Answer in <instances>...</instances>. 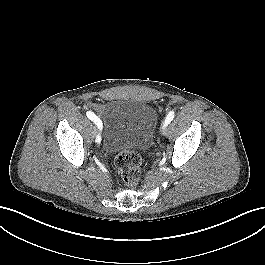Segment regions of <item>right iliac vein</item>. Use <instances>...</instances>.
Returning <instances> with one entry per match:
<instances>
[{
  "label": "right iliac vein",
  "mask_w": 265,
  "mask_h": 265,
  "mask_svg": "<svg viewBox=\"0 0 265 265\" xmlns=\"http://www.w3.org/2000/svg\"><path fill=\"white\" fill-rule=\"evenodd\" d=\"M96 132H97V130H96V128L94 129V134H96Z\"/></svg>",
  "instance_id": "right-iliac-vein-1"
}]
</instances>
